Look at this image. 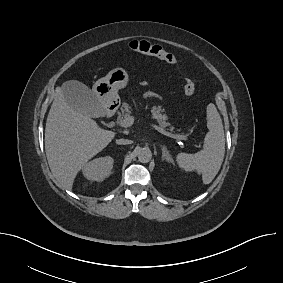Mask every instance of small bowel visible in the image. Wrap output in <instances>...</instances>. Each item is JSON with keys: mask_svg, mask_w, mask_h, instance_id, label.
I'll return each instance as SVG.
<instances>
[{"mask_svg": "<svg viewBox=\"0 0 283 283\" xmlns=\"http://www.w3.org/2000/svg\"><path fill=\"white\" fill-rule=\"evenodd\" d=\"M147 84H148L147 81L142 82V85H147ZM146 97L147 98H156V97H158V95L156 93H153V92H148L146 94Z\"/></svg>", "mask_w": 283, "mask_h": 283, "instance_id": "1", "label": "small bowel"}]
</instances>
